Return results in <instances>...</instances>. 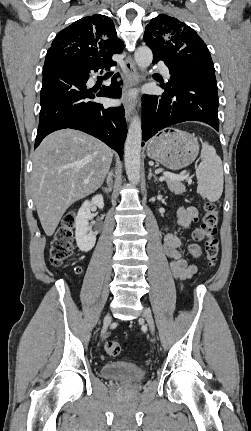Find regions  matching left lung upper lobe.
Returning <instances> with one entry per match:
<instances>
[{
    "label": "left lung upper lobe",
    "mask_w": 251,
    "mask_h": 431,
    "mask_svg": "<svg viewBox=\"0 0 251 431\" xmlns=\"http://www.w3.org/2000/svg\"><path fill=\"white\" fill-rule=\"evenodd\" d=\"M153 59L167 61L177 72H204L215 75L214 64L204 41L189 26L174 17L160 14L151 19L143 37ZM171 81L167 83L170 85Z\"/></svg>",
    "instance_id": "5c2ea615"
}]
</instances>
